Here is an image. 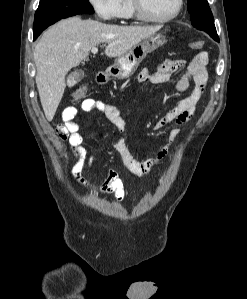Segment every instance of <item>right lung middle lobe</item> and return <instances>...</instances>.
Instances as JSON below:
<instances>
[{"mask_svg": "<svg viewBox=\"0 0 247 299\" xmlns=\"http://www.w3.org/2000/svg\"><path fill=\"white\" fill-rule=\"evenodd\" d=\"M82 13H94L88 0H40L35 13L33 35H40L48 26L63 18Z\"/></svg>", "mask_w": 247, "mask_h": 299, "instance_id": "obj_1", "label": "right lung middle lobe"}]
</instances>
